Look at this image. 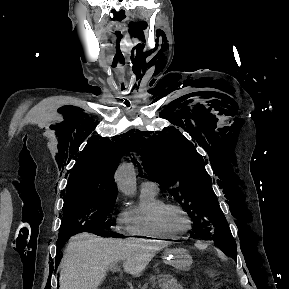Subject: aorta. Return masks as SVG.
I'll list each match as a JSON object with an SVG mask.
<instances>
[{
	"instance_id": "aorta-1",
	"label": "aorta",
	"mask_w": 289,
	"mask_h": 289,
	"mask_svg": "<svg viewBox=\"0 0 289 289\" xmlns=\"http://www.w3.org/2000/svg\"><path fill=\"white\" fill-rule=\"evenodd\" d=\"M115 182L119 191L125 195H133L136 192V174L132 163L120 164L115 173Z\"/></svg>"
}]
</instances>
